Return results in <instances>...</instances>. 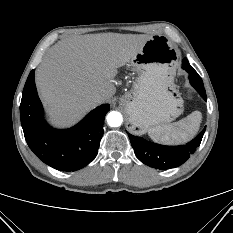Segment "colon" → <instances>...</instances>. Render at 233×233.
Returning a JSON list of instances; mask_svg holds the SVG:
<instances>
[{
    "label": "colon",
    "instance_id": "5ec220e1",
    "mask_svg": "<svg viewBox=\"0 0 233 233\" xmlns=\"http://www.w3.org/2000/svg\"><path fill=\"white\" fill-rule=\"evenodd\" d=\"M187 97H188V98H190V97H191V95H190V94H187Z\"/></svg>",
    "mask_w": 233,
    "mask_h": 233
}]
</instances>
